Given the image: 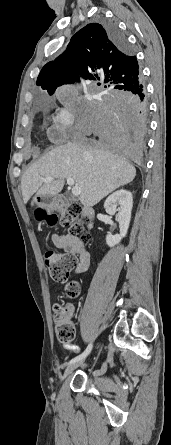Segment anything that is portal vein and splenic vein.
Returning a JSON list of instances; mask_svg holds the SVG:
<instances>
[{
    "label": "portal vein and splenic vein",
    "mask_w": 171,
    "mask_h": 445,
    "mask_svg": "<svg viewBox=\"0 0 171 445\" xmlns=\"http://www.w3.org/2000/svg\"><path fill=\"white\" fill-rule=\"evenodd\" d=\"M52 180H53L52 177H48V178L45 179L46 182H51ZM67 184H68L69 186H73V187H72V194H73L74 196H79V195L81 194V188H80L78 185L75 184L74 179H72V178H68V179H67ZM74 184H75V185H74Z\"/></svg>",
    "instance_id": "18ae733b"
}]
</instances>
